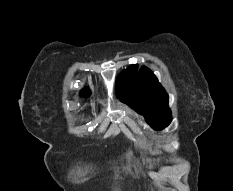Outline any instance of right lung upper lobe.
I'll use <instances>...</instances> for the list:
<instances>
[{
    "label": "right lung upper lobe",
    "mask_w": 233,
    "mask_h": 191,
    "mask_svg": "<svg viewBox=\"0 0 233 191\" xmlns=\"http://www.w3.org/2000/svg\"><path fill=\"white\" fill-rule=\"evenodd\" d=\"M88 93H89V92H87V90H84V91L82 92V95H83V96H87Z\"/></svg>",
    "instance_id": "obj_1"
}]
</instances>
